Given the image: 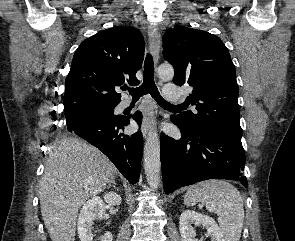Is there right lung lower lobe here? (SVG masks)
I'll return each instance as SVG.
<instances>
[{"mask_svg": "<svg viewBox=\"0 0 295 241\" xmlns=\"http://www.w3.org/2000/svg\"><path fill=\"white\" fill-rule=\"evenodd\" d=\"M133 118L141 124L142 114L132 116L88 115L67 122L69 132H74L90 144L101 150L132 184L139 180L143 137L138 131L135 134H124V127Z\"/></svg>", "mask_w": 295, "mask_h": 241, "instance_id": "right-lung-lower-lobe-1", "label": "right lung lower lobe"}]
</instances>
